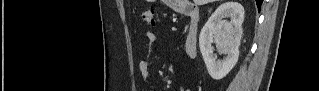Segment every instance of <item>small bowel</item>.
Returning <instances> with one entry per match:
<instances>
[{"label": "small bowel", "instance_id": "c3829d8e", "mask_svg": "<svg viewBox=\"0 0 319 91\" xmlns=\"http://www.w3.org/2000/svg\"><path fill=\"white\" fill-rule=\"evenodd\" d=\"M146 38L150 44L157 42L158 38L155 32L148 31L146 33ZM151 67V60L148 58L142 59L139 63V69L144 77V79L149 82V70ZM149 90H152L151 88Z\"/></svg>", "mask_w": 319, "mask_h": 91}]
</instances>
